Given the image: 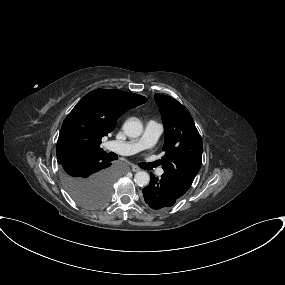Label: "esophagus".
Here are the masks:
<instances>
[{"label":"esophagus","mask_w":285,"mask_h":285,"mask_svg":"<svg viewBox=\"0 0 285 285\" xmlns=\"http://www.w3.org/2000/svg\"><path fill=\"white\" fill-rule=\"evenodd\" d=\"M131 170H132L133 172H138V171H140V168H138V167L135 166V165H132V166H131Z\"/></svg>","instance_id":"obj_1"}]
</instances>
